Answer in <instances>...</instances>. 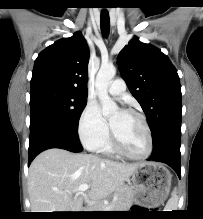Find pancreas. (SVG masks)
Masks as SVG:
<instances>
[{"instance_id":"cf45deb5","label":"pancreas","mask_w":203,"mask_h":219,"mask_svg":"<svg viewBox=\"0 0 203 219\" xmlns=\"http://www.w3.org/2000/svg\"><path fill=\"white\" fill-rule=\"evenodd\" d=\"M134 190L131 187H121L115 192V199L110 204L112 208L109 211H125L132 204ZM106 205L101 202L93 206V211H105Z\"/></svg>"}]
</instances>
